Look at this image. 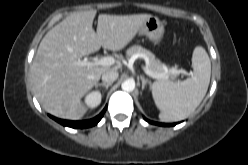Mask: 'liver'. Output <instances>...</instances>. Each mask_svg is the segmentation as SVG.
<instances>
[{
    "label": "liver",
    "mask_w": 248,
    "mask_h": 165,
    "mask_svg": "<svg viewBox=\"0 0 248 165\" xmlns=\"http://www.w3.org/2000/svg\"><path fill=\"white\" fill-rule=\"evenodd\" d=\"M96 10L74 12L54 26L41 40L30 68L32 90L48 113L66 119L83 117L82 97L109 66H78L76 61L101 47L122 50L138 33L149 14L98 16Z\"/></svg>",
    "instance_id": "obj_1"
}]
</instances>
